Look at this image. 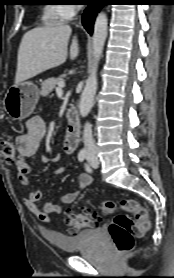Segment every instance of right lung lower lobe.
Returning <instances> with one entry per match:
<instances>
[{"mask_svg": "<svg viewBox=\"0 0 174 278\" xmlns=\"http://www.w3.org/2000/svg\"><path fill=\"white\" fill-rule=\"evenodd\" d=\"M105 2V0H89L88 7L82 17V24L89 34H92L96 14L106 4Z\"/></svg>", "mask_w": 174, "mask_h": 278, "instance_id": "right-lung-lower-lobe-1", "label": "right lung lower lobe"}]
</instances>
